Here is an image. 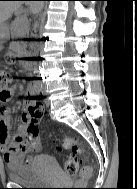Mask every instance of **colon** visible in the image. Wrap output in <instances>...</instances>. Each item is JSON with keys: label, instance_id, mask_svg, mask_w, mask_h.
Segmentation results:
<instances>
[{"label": "colon", "instance_id": "5ec220e1", "mask_svg": "<svg viewBox=\"0 0 137 189\" xmlns=\"http://www.w3.org/2000/svg\"><path fill=\"white\" fill-rule=\"evenodd\" d=\"M12 82L11 70L0 67V99L7 100L11 96ZM25 112L29 123L23 137V144L29 149H37L40 147L38 122L44 114V105L41 102L29 104L25 107ZM62 147L72 151V156L64 163V172L69 176H74L78 170V156H84L85 151L79 141L71 137H65L62 140ZM92 174V169L88 167L83 171L82 178L84 180L90 179Z\"/></svg>", "mask_w": 137, "mask_h": 189}]
</instances>
